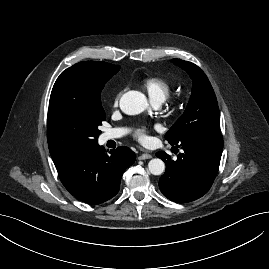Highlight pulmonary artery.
Here are the masks:
<instances>
[{
    "mask_svg": "<svg viewBox=\"0 0 269 269\" xmlns=\"http://www.w3.org/2000/svg\"><path fill=\"white\" fill-rule=\"evenodd\" d=\"M154 104L156 107H158V106H160L161 102L156 101V102H154ZM124 134H125L124 129H121V128L110 129V130H107L103 134V140L108 141V140H112V139H117V138L122 137Z\"/></svg>",
    "mask_w": 269,
    "mask_h": 269,
    "instance_id": "obj_1",
    "label": "pulmonary artery"
}]
</instances>
